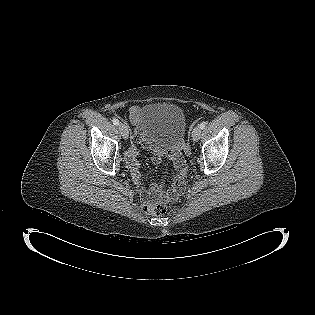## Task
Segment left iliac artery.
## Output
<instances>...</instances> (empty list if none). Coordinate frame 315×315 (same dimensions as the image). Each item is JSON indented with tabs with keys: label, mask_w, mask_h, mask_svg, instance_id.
Masks as SVG:
<instances>
[{
	"label": "left iliac artery",
	"mask_w": 315,
	"mask_h": 315,
	"mask_svg": "<svg viewBox=\"0 0 315 315\" xmlns=\"http://www.w3.org/2000/svg\"><path fill=\"white\" fill-rule=\"evenodd\" d=\"M205 126H206V122H201L200 125H199V127H200L201 129H204Z\"/></svg>",
	"instance_id": "44dca946"
}]
</instances>
